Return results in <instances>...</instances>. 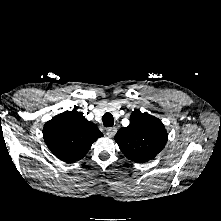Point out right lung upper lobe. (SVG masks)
<instances>
[{
	"instance_id": "cb5924a9",
	"label": "right lung upper lobe",
	"mask_w": 221,
	"mask_h": 221,
	"mask_svg": "<svg viewBox=\"0 0 221 221\" xmlns=\"http://www.w3.org/2000/svg\"><path fill=\"white\" fill-rule=\"evenodd\" d=\"M48 148L62 161L82 159L93 142L103 134L98 127L76 110L65 111L48 121L43 129Z\"/></svg>"
}]
</instances>
